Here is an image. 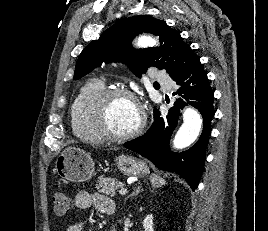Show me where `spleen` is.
Listing matches in <instances>:
<instances>
[{
  "instance_id": "3e777b00",
  "label": "spleen",
  "mask_w": 268,
  "mask_h": 231,
  "mask_svg": "<svg viewBox=\"0 0 268 231\" xmlns=\"http://www.w3.org/2000/svg\"><path fill=\"white\" fill-rule=\"evenodd\" d=\"M150 181L153 186L157 187L165 184V180L163 178L158 177L155 174H152V176L150 177Z\"/></svg>"
}]
</instances>
